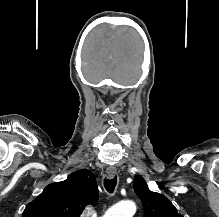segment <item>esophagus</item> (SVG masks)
<instances>
[{"label": "esophagus", "mask_w": 219, "mask_h": 217, "mask_svg": "<svg viewBox=\"0 0 219 217\" xmlns=\"http://www.w3.org/2000/svg\"><path fill=\"white\" fill-rule=\"evenodd\" d=\"M106 173H107L108 178L111 179L116 176L117 170L115 168H107Z\"/></svg>", "instance_id": "1"}]
</instances>
